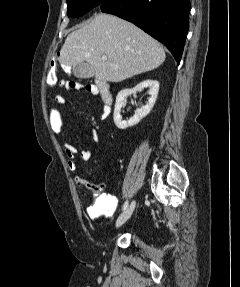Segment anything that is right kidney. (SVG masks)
<instances>
[{"label": "right kidney", "instance_id": "obj_1", "mask_svg": "<svg viewBox=\"0 0 240 287\" xmlns=\"http://www.w3.org/2000/svg\"><path fill=\"white\" fill-rule=\"evenodd\" d=\"M144 88H149L150 98L148 99V103L145 106L138 108L135 111L134 116L131 117L129 120H122L120 111L121 108L125 105V98L128 95L136 94L137 91H141ZM158 92H159V82L150 79L139 83L133 89H124L120 91L116 97V103L113 115L115 125L119 129H126L128 127H132L138 124L144 117H146L150 113L151 109L153 108L156 102Z\"/></svg>", "mask_w": 240, "mask_h": 287}]
</instances>
